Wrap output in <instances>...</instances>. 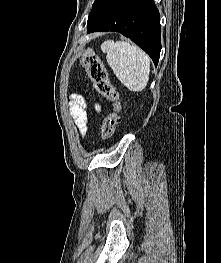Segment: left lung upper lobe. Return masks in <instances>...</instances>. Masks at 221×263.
I'll use <instances>...</instances> for the list:
<instances>
[{
  "label": "left lung upper lobe",
  "mask_w": 221,
  "mask_h": 263,
  "mask_svg": "<svg viewBox=\"0 0 221 263\" xmlns=\"http://www.w3.org/2000/svg\"><path fill=\"white\" fill-rule=\"evenodd\" d=\"M100 1H101V0H95V2H94L93 5H92V8H93L96 4H98Z\"/></svg>",
  "instance_id": "obj_1"
}]
</instances>
